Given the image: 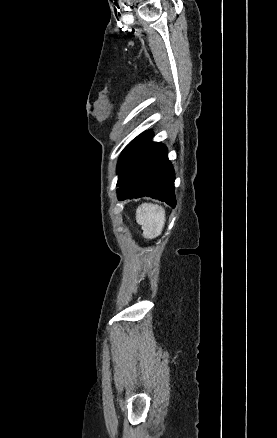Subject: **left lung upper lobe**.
Here are the masks:
<instances>
[{
	"mask_svg": "<svg viewBox=\"0 0 277 438\" xmlns=\"http://www.w3.org/2000/svg\"><path fill=\"white\" fill-rule=\"evenodd\" d=\"M131 144V143H130ZM130 144L123 150V152L121 153V155H120V158H119V161H118V166H117V172H118V174L120 173V170H121V168H122V165H123V162H124V160H125V157H126V155H127V151H128V149H129V147H130Z\"/></svg>",
	"mask_w": 277,
	"mask_h": 438,
	"instance_id": "5c2ea615",
	"label": "left lung upper lobe"
}]
</instances>
